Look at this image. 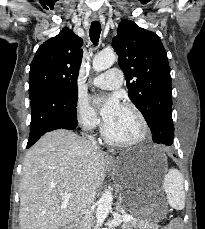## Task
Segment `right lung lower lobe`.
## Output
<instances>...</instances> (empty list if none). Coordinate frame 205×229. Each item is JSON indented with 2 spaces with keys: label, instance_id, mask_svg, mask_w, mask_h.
<instances>
[{
  "label": "right lung lower lobe",
  "instance_id": "right-lung-lower-lobe-1",
  "mask_svg": "<svg viewBox=\"0 0 205 229\" xmlns=\"http://www.w3.org/2000/svg\"><path fill=\"white\" fill-rule=\"evenodd\" d=\"M31 124L27 147H31L43 134L55 129H74L77 97L63 89H50L31 98Z\"/></svg>",
  "mask_w": 205,
  "mask_h": 229
}]
</instances>
